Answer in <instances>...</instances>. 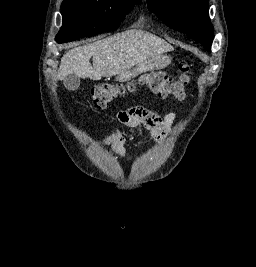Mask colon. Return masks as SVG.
Here are the masks:
<instances>
[{
	"mask_svg": "<svg viewBox=\"0 0 256 267\" xmlns=\"http://www.w3.org/2000/svg\"><path fill=\"white\" fill-rule=\"evenodd\" d=\"M179 70L181 75L176 81L155 70V73H141L131 77V81L100 84L92 91V106L104 109L118 97L134 93L139 86H147L159 96H173L176 100L182 101L185 97L184 86L189 83L194 73V66L191 62L183 61L179 64Z\"/></svg>",
	"mask_w": 256,
	"mask_h": 267,
	"instance_id": "1",
	"label": "colon"
}]
</instances>
